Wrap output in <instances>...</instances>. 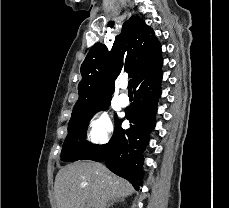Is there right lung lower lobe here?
Wrapping results in <instances>:
<instances>
[{"instance_id": "98d812e1", "label": "right lung lower lobe", "mask_w": 229, "mask_h": 208, "mask_svg": "<svg viewBox=\"0 0 229 208\" xmlns=\"http://www.w3.org/2000/svg\"><path fill=\"white\" fill-rule=\"evenodd\" d=\"M161 67L134 87V102L125 109L130 128L123 130L122 120H118L109 143L95 145L79 159L105 161L112 172L127 179L136 190L142 185V153L155 127L157 102L161 95Z\"/></svg>"}]
</instances>
